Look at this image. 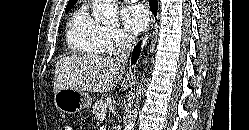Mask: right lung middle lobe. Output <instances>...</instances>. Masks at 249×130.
<instances>
[{"label":"right lung middle lobe","mask_w":249,"mask_h":130,"mask_svg":"<svg viewBox=\"0 0 249 130\" xmlns=\"http://www.w3.org/2000/svg\"><path fill=\"white\" fill-rule=\"evenodd\" d=\"M73 6H74V4L67 5V7L65 9V13H68L73 8Z\"/></svg>","instance_id":"obj_1"}]
</instances>
